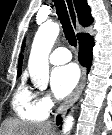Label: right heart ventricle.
Returning a JSON list of instances; mask_svg holds the SVG:
<instances>
[{"label": "right heart ventricle", "mask_w": 112, "mask_h": 135, "mask_svg": "<svg viewBox=\"0 0 112 135\" xmlns=\"http://www.w3.org/2000/svg\"><path fill=\"white\" fill-rule=\"evenodd\" d=\"M13 109L18 117L30 122L43 121L48 115L39 103L38 94L25 83H21L14 93Z\"/></svg>", "instance_id": "1"}]
</instances>
